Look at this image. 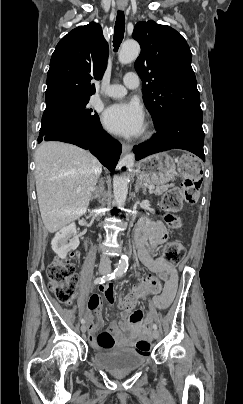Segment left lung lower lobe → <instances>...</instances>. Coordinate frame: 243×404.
<instances>
[{"instance_id":"0a47b994","label":"left lung lower lobe","mask_w":243,"mask_h":404,"mask_svg":"<svg viewBox=\"0 0 243 404\" xmlns=\"http://www.w3.org/2000/svg\"><path fill=\"white\" fill-rule=\"evenodd\" d=\"M202 110L179 109L156 125L157 134L148 142L134 146L136 160L173 148L188 150L205 161Z\"/></svg>"}]
</instances>
